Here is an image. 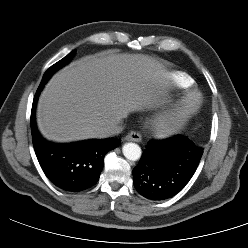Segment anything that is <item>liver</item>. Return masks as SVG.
I'll use <instances>...</instances> for the list:
<instances>
[{
  "label": "liver",
  "mask_w": 248,
  "mask_h": 248,
  "mask_svg": "<svg viewBox=\"0 0 248 248\" xmlns=\"http://www.w3.org/2000/svg\"><path fill=\"white\" fill-rule=\"evenodd\" d=\"M167 84L162 65L149 56L83 57L46 85L37 108L38 128L56 142L104 138L110 125L156 104Z\"/></svg>",
  "instance_id": "1"
}]
</instances>
